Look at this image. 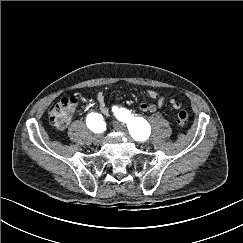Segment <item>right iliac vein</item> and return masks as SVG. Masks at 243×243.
Here are the masks:
<instances>
[{
	"instance_id": "63e3f726",
	"label": "right iliac vein",
	"mask_w": 243,
	"mask_h": 243,
	"mask_svg": "<svg viewBox=\"0 0 243 243\" xmlns=\"http://www.w3.org/2000/svg\"><path fill=\"white\" fill-rule=\"evenodd\" d=\"M102 141V135L101 134H95L93 137L94 144L98 145Z\"/></svg>"
}]
</instances>
